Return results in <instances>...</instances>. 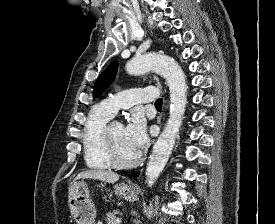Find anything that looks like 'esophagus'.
Masks as SVG:
<instances>
[{"mask_svg": "<svg viewBox=\"0 0 275 224\" xmlns=\"http://www.w3.org/2000/svg\"><path fill=\"white\" fill-rule=\"evenodd\" d=\"M160 120H161V119L159 118V119H158V122H159V123H160Z\"/></svg>", "mask_w": 275, "mask_h": 224, "instance_id": "34e87169", "label": "esophagus"}]
</instances>
